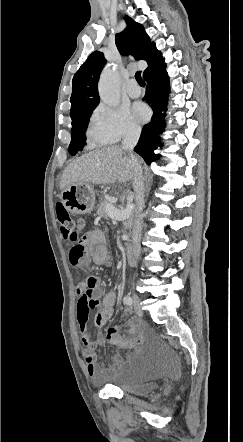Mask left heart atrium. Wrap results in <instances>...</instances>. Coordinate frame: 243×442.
Here are the masks:
<instances>
[{
    "label": "left heart atrium",
    "instance_id": "obj_1",
    "mask_svg": "<svg viewBox=\"0 0 243 442\" xmlns=\"http://www.w3.org/2000/svg\"><path fill=\"white\" fill-rule=\"evenodd\" d=\"M133 113L140 121H144L149 116V110L147 106L141 102H137L133 105Z\"/></svg>",
    "mask_w": 243,
    "mask_h": 442
}]
</instances>
